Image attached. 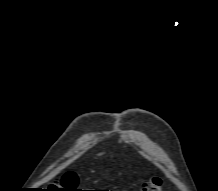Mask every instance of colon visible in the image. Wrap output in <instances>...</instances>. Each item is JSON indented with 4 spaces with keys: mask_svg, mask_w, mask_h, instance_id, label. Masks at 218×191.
Wrapping results in <instances>:
<instances>
[{
    "mask_svg": "<svg viewBox=\"0 0 218 191\" xmlns=\"http://www.w3.org/2000/svg\"><path fill=\"white\" fill-rule=\"evenodd\" d=\"M63 191H81L78 188V178L75 174L67 173L56 180ZM163 181L159 177H153L137 191H162Z\"/></svg>",
    "mask_w": 218,
    "mask_h": 191,
    "instance_id": "1",
    "label": "colon"
}]
</instances>
